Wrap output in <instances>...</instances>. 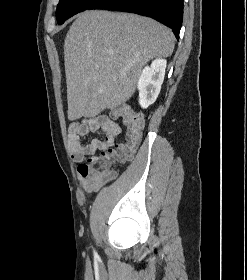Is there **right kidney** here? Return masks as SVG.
I'll use <instances>...</instances> for the list:
<instances>
[{
	"label": "right kidney",
	"mask_w": 247,
	"mask_h": 280,
	"mask_svg": "<svg viewBox=\"0 0 247 280\" xmlns=\"http://www.w3.org/2000/svg\"><path fill=\"white\" fill-rule=\"evenodd\" d=\"M166 69L165 59H156L150 67H145L138 80L139 103L147 108L155 102L164 80Z\"/></svg>",
	"instance_id": "1"
}]
</instances>
